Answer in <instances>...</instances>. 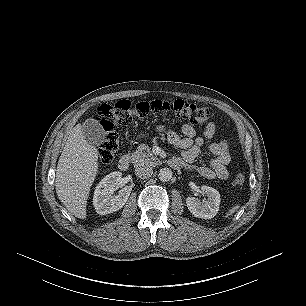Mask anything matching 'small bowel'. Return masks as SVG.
Here are the masks:
<instances>
[{"instance_id": "1", "label": "small bowel", "mask_w": 306, "mask_h": 306, "mask_svg": "<svg viewBox=\"0 0 306 306\" xmlns=\"http://www.w3.org/2000/svg\"><path fill=\"white\" fill-rule=\"evenodd\" d=\"M217 131V124L210 122L206 125L202 135L196 136L194 127L190 124L182 126L183 136L174 131H166L168 142L175 148L183 150L182 157H174L171 160L177 161L189 170L196 171L205 179L225 180L229 177L227 165L231 162L229 142H211ZM207 145L212 157L207 166L195 167L192 163L198 157L202 146Z\"/></svg>"}]
</instances>
